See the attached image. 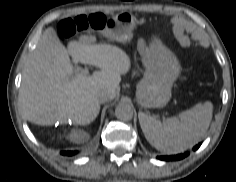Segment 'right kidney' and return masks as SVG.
<instances>
[{
  "instance_id": "right-kidney-1",
  "label": "right kidney",
  "mask_w": 236,
  "mask_h": 182,
  "mask_svg": "<svg viewBox=\"0 0 236 182\" xmlns=\"http://www.w3.org/2000/svg\"><path fill=\"white\" fill-rule=\"evenodd\" d=\"M89 135L82 130H72L68 135V139L74 143H82L88 140Z\"/></svg>"
}]
</instances>
